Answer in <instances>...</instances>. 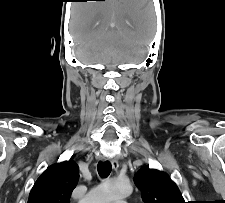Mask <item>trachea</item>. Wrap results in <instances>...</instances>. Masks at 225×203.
I'll return each instance as SVG.
<instances>
[{
    "label": "trachea",
    "mask_w": 225,
    "mask_h": 203,
    "mask_svg": "<svg viewBox=\"0 0 225 203\" xmlns=\"http://www.w3.org/2000/svg\"><path fill=\"white\" fill-rule=\"evenodd\" d=\"M98 173L101 177H107L112 169L111 163L109 161H105V162H98Z\"/></svg>",
    "instance_id": "3493384b"
}]
</instances>
